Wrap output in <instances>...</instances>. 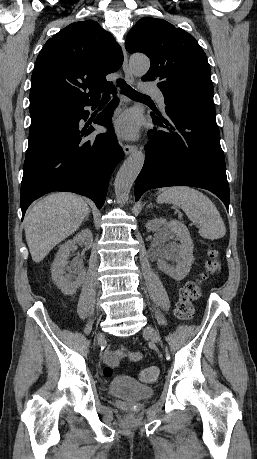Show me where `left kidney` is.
Wrapping results in <instances>:
<instances>
[{
    "mask_svg": "<svg viewBox=\"0 0 257 459\" xmlns=\"http://www.w3.org/2000/svg\"><path fill=\"white\" fill-rule=\"evenodd\" d=\"M148 232H156V239L160 243L157 250L158 267L171 278L180 281L190 272L191 265L194 262L193 248L194 244L191 239L188 228L177 220L167 221L165 218H156L146 223ZM175 234L180 245H164L168 238ZM176 260L177 265L171 266L168 260Z\"/></svg>",
    "mask_w": 257,
    "mask_h": 459,
    "instance_id": "5707ae66",
    "label": "left kidney"
}]
</instances>
